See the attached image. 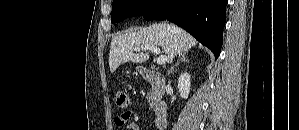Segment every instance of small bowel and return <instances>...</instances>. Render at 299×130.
Instances as JSON below:
<instances>
[{"label": "small bowel", "mask_w": 299, "mask_h": 130, "mask_svg": "<svg viewBox=\"0 0 299 130\" xmlns=\"http://www.w3.org/2000/svg\"><path fill=\"white\" fill-rule=\"evenodd\" d=\"M131 115V112H124L122 114H119L115 117V123L118 126H122L126 123V121L129 119ZM126 129L128 130H140V126L136 122H131L126 125Z\"/></svg>", "instance_id": "c3829d8e"}]
</instances>
